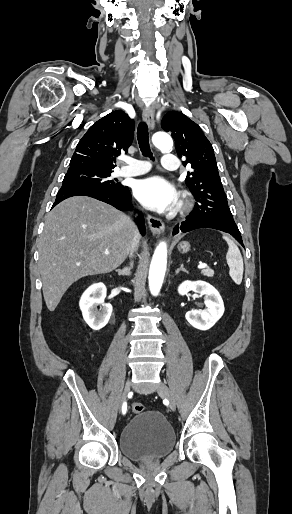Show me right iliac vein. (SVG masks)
Returning a JSON list of instances; mask_svg holds the SVG:
<instances>
[{
  "mask_svg": "<svg viewBox=\"0 0 292 514\" xmlns=\"http://www.w3.org/2000/svg\"><path fill=\"white\" fill-rule=\"evenodd\" d=\"M130 387H131V383L129 380H127L124 390H123V393H122V402L126 399L127 395L129 394Z\"/></svg>",
  "mask_w": 292,
  "mask_h": 514,
  "instance_id": "63e3f726",
  "label": "right iliac vein"
}]
</instances>
